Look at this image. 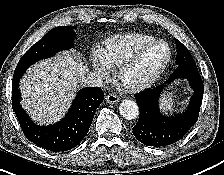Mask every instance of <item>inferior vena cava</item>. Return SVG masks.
<instances>
[{"label":"inferior vena cava","instance_id":"obj_1","mask_svg":"<svg viewBox=\"0 0 224 175\" xmlns=\"http://www.w3.org/2000/svg\"><path fill=\"white\" fill-rule=\"evenodd\" d=\"M83 85L89 87H100L103 84V79L95 72H89L82 80Z\"/></svg>","mask_w":224,"mask_h":175}]
</instances>
